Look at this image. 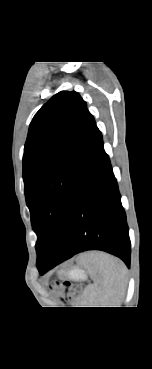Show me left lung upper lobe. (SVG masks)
I'll return each instance as SVG.
<instances>
[{
  "mask_svg": "<svg viewBox=\"0 0 152 369\" xmlns=\"http://www.w3.org/2000/svg\"><path fill=\"white\" fill-rule=\"evenodd\" d=\"M97 126L85 101L61 91L36 113L24 147L26 203L37 234V265L58 253Z\"/></svg>",
  "mask_w": 152,
  "mask_h": 369,
  "instance_id": "1",
  "label": "left lung upper lobe"
}]
</instances>
